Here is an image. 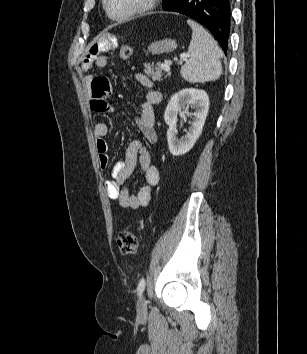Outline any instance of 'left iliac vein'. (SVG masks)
<instances>
[{
    "label": "left iliac vein",
    "mask_w": 307,
    "mask_h": 354,
    "mask_svg": "<svg viewBox=\"0 0 307 354\" xmlns=\"http://www.w3.org/2000/svg\"><path fill=\"white\" fill-rule=\"evenodd\" d=\"M138 312L140 315H145L147 313V301L144 296H141L138 302Z\"/></svg>",
    "instance_id": "left-iliac-vein-1"
}]
</instances>
